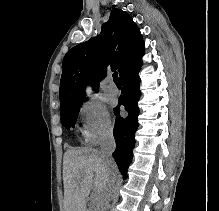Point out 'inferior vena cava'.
Instances as JSON below:
<instances>
[{
  "mask_svg": "<svg viewBox=\"0 0 219 211\" xmlns=\"http://www.w3.org/2000/svg\"><path fill=\"white\" fill-rule=\"evenodd\" d=\"M100 153L105 159L103 162V170L107 171L108 175H112V178L110 179V182L108 184L109 188H118L119 184L121 182V179L123 178L122 171L118 170V162L114 161L112 157V153L116 147L115 139L113 135H106V137H103L101 143H100Z\"/></svg>",
  "mask_w": 219,
  "mask_h": 211,
  "instance_id": "1",
  "label": "inferior vena cava"
}]
</instances>
